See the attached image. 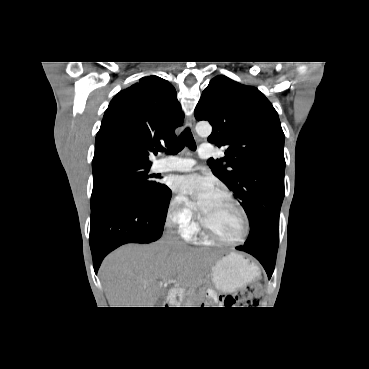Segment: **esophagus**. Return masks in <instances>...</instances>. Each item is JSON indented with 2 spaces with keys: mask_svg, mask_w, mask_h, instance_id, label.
<instances>
[{
  "mask_svg": "<svg viewBox=\"0 0 369 369\" xmlns=\"http://www.w3.org/2000/svg\"><path fill=\"white\" fill-rule=\"evenodd\" d=\"M195 124H196V119L194 115H191L190 117H188L187 125L191 128L193 134H195Z\"/></svg>",
  "mask_w": 369,
  "mask_h": 369,
  "instance_id": "1",
  "label": "esophagus"
}]
</instances>
